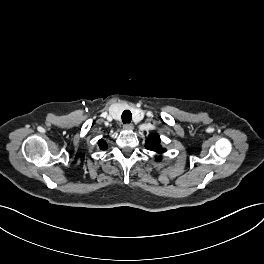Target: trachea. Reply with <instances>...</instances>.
<instances>
[{
  "instance_id": "trachea-1",
  "label": "trachea",
  "mask_w": 264,
  "mask_h": 264,
  "mask_svg": "<svg viewBox=\"0 0 264 264\" xmlns=\"http://www.w3.org/2000/svg\"><path fill=\"white\" fill-rule=\"evenodd\" d=\"M132 113L129 110H125L122 113V121L124 124H128L131 122Z\"/></svg>"
}]
</instances>
